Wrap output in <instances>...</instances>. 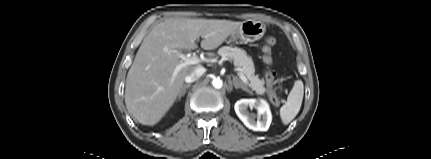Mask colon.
<instances>
[{"label": "colon", "instance_id": "obj_1", "mask_svg": "<svg viewBox=\"0 0 431 159\" xmlns=\"http://www.w3.org/2000/svg\"><path fill=\"white\" fill-rule=\"evenodd\" d=\"M276 43L274 37H267L265 40V45L263 47L264 51V61L268 64L272 62L271 47ZM266 83L268 88L274 93V85L276 83L275 73L268 71L265 75Z\"/></svg>", "mask_w": 431, "mask_h": 159}]
</instances>
